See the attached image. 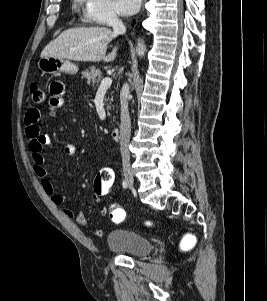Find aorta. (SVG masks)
<instances>
[{"instance_id":"1","label":"aorta","mask_w":267,"mask_h":301,"mask_svg":"<svg viewBox=\"0 0 267 301\" xmlns=\"http://www.w3.org/2000/svg\"><path fill=\"white\" fill-rule=\"evenodd\" d=\"M145 51H146V47H145L144 42L142 40H138L137 48H136L137 55L139 57H142V56H144Z\"/></svg>"}]
</instances>
